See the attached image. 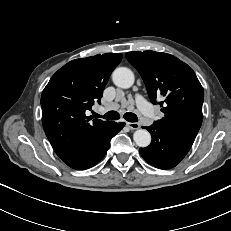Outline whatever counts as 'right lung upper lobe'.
Wrapping results in <instances>:
<instances>
[{
  "label": "right lung upper lobe",
  "instance_id": "obj_1",
  "mask_svg": "<svg viewBox=\"0 0 231 231\" xmlns=\"http://www.w3.org/2000/svg\"><path fill=\"white\" fill-rule=\"evenodd\" d=\"M122 54L106 53L73 60L50 79L41 96L43 129L54 151L68 166L104 137L113 122L94 119L85 112L100 103L111 72Z\"/></svg>",
  "mask_w": 231,
  "mask_h": 231
}]
</instances>
